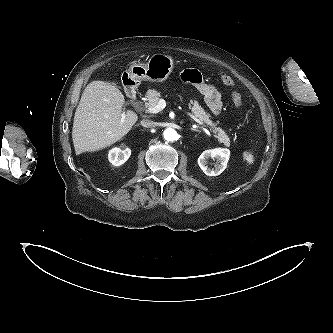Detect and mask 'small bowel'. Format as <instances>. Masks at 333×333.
Instances as JSON below:
<instances>
[{
    "label": "small bowel",
    "mask_w": 333,
    "mask_h": 333,
    "mask_svg": "<svg viewBox=\"0 0 333 333\" xmlns=\"http://www.w3.org/2000/svg\"><path fill=\"white\" fill-rule=\"evenodd\" d=\"M185 83L192 84L204 96L205 102L214 114L222 110L220 91L212 84L205 81L202 74L196 69H186L181 74Z\"/></svg>",
    "instance_id": "obj_1"
}]
</instances>
